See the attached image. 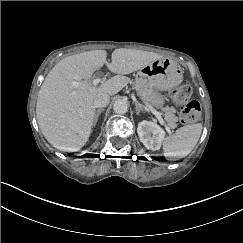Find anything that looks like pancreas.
I'll return each instance as SVG.
<instances>
[{
	"instance_id": "1",
	"label": "pancreas",
	"mask_w": 243,
	"mask_h": 243,
	"mask_svg": "<svg viewBox=\"0 0 243 243\" xmlns=\"http://www.w3.org/2000/svg\"><path fill=\"white\" fill-rule=\"evenodd\" d=\"M165 121H167L168 126L170 128H175L177 126L176 122L178 121V118L175 117V114L172 110L167 109V113L165 115Z\"/></svg>"
}]
</instances>
